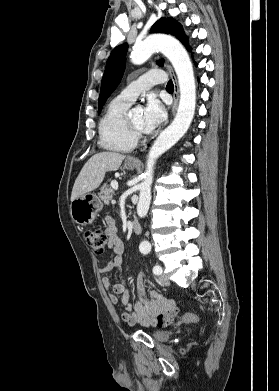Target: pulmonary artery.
<instances>
[{
    "instance_id": "1",
    "label": "pulmonary artery",
    "mask_w": 279,
    "mask_h": 391,
    "mask_svg": "<svg viewBox=\"0 0 279 391\" xmlns=\"http://www.w3.org/2000/svg\"><path fill=\"white\" fill-rule=\"evenodd\" d=\"M165 80L166 74L162 71L146 72L125 87L120 92L119 97L129 102H133L140 93L147 91L153 85L162 83Z\"/></svg>"
}]
</instances>
